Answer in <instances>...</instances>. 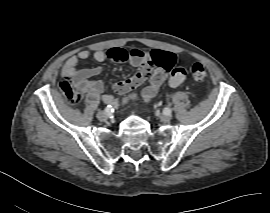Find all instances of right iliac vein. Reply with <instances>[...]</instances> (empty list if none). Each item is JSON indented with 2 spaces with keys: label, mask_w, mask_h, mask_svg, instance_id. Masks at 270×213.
Wrapping results in <instances>:
<instances>
[{
  "label": "right iliac vein",
  "mask_w": 270,
  "mask_h": 213,
  "mask_svg": "<svg viewBox=\"0 0 270 213\" xmlns=\"http://www.w3.org/2000/svg\"><path fill=\"white\" fill-rule=\"evenodd\" d=\"M97 118L100 120V121H104L108 118V113L106 111H99L97 113Z\"/></svg>",
  "instance_id": "right-iliac-vein-1"
}]
</instances>
